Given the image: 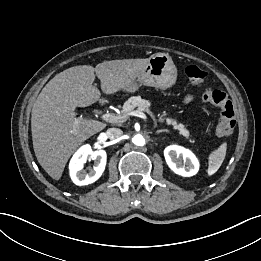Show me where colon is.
Segmentation results:
<instances>
[{"mask_svg":"<svg viewBox=\"0 0 261 261\" xmlns=\"http://www.w3.org/2000/svg\"><path fill=\"white\" fill-rule=\"evenodd\" d=\"M189 82L201 90L203 100L217 106L220 110V120L217 133L220 137H229L235 127V110L227 94L216 88L205 85L206 72L196 65H189L185 69Z\"/></svg>","mask_w":261,"mask_h":261,"instance_id":"obj_1","label":"colon"}]
</instances>
